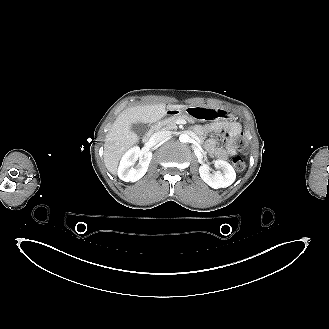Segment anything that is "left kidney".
<instances>
[{"label":"left kidney","instance_id":"1","mask_svg":"<svg viewBox=\"0 0 329 329\" xmlns=\"http://www.w3.org/2000/svg\"><path fill=\"white\" fill-rule=\"evenodd\" d=\"M214 166L216 169L221 171H216L215 173H210V168L207 165H202L199 168L200 177L207 183L210 187L214 189L225 188L230 186L236 179V173L233 167L224 160L214 161Z\"/></svg>","mask_w":329,"mask_h":329}]
</instances>
